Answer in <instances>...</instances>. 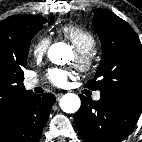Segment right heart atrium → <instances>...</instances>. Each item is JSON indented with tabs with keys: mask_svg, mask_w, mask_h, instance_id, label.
Here are the masks:
<instances>
[{
	"mask_svg": "<svg viewBox=\"0 0 142 142\" xmlns=\"http://www.w3.org/2000/svg\"><path fill=\"white\" fill-rule=\"evenodd\" d=\"M51 39L46 35H40L30 48L31 55L36 60H41L48 52Z\"/></svg>",
	"mask_w": 142,
	"mask_h": 142,
	"instance_id": "1",
	"label": "right heart atrium"
}]
</instances>
